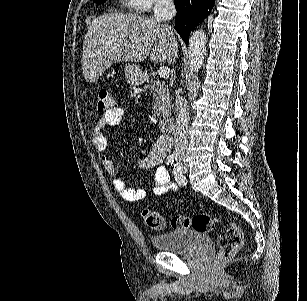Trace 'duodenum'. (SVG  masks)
<instances>
[{"label": "duodenum", "instance_id": "1", "mask_svg": "<svg viewBox=\"0 0 307 301\" xmlns=\"http://www.w3.org/2000/svg\"><path fill=\"white\" fill-rule=\"evenodd\" d=\"M175 127H176V121L175 118L172 117L171 115H164L159 120V128L164 133L170 134L174 132Z\"/></svg>", "mask_w": 307, "mask_h": 301}]
</instances>
